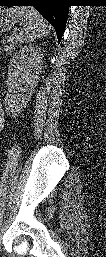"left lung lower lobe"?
Masks as SVG:
<instances>
[{"label": "left lung lower lobe", "mask_w": 106, "mask_h": 257, "mask_svg": "<svg viewBox=\"0 0 106 257\" xmlns=\"http://www.w3.org/2000/svg\"><path fill=\"white\" fill-rule=\"evenodd\" d=\"M70 0H0L2 6H33L54 27L58 42L65 30Z\"/></svg>", "instance_id": "obj_1"}]
</instances>
